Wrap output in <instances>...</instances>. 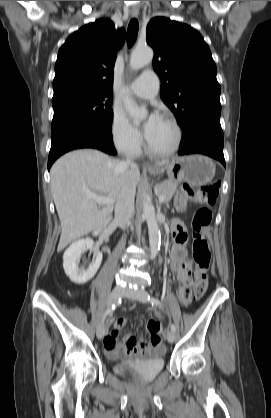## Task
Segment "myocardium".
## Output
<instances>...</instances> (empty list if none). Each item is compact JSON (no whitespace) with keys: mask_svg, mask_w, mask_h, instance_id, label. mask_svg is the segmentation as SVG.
Segmentation results:
<instances>
[{"mask_svg":"<svg viewBox=\"0 0 271 418\" xmlns=\"http://www.w3.org/2000/svg\"><path fill=\"white\" fill-rule=\"evenodd\" d=\"M162 118L166 119L173 126L175 130V141L170 148L166 150H157L151 146V144L149 143L147 139L146 140L147 152L157 157H167V156L174 154L179 149L181 142H182V138H183L181 126L179 125L178 121L173 116L169 114H164Z\"/></svg>","mask_w":271,"mask_h":418,"instance_id":"myocardium-1","label":"myocardium"}]
</instances>
